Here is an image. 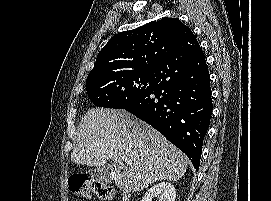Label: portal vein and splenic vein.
Returning <instances> with one entry per match:
<instances>
[{"label": "portal vein and splenic vein", "mask_w": 271, "mask_h": 201, "mask_svg": "<svg viewBox=\"0 0 271 201\" xmlns=\"http://www.w3.org/2000/svg\"><path fill=\"white\" fill-rule=\"evenodd\" d=\"M124 162H125L126 164H132V160L129 159V158H124Z\"/></svg>", "instance_id": "obj_1"}]
</instances>
